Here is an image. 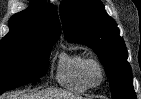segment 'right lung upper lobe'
<instances>
[{
    "label": "right lung upper lobe",
    "mask_w": 141,
    "mask_h": 99,
    "mask_svg": "<svg viewBox=\"0 0 141 99\" xmlns=\"http://www.w3.org/2000/svg\"><path fill=\"white\" fill-rule=\"evenodd\" d=\"M9 20L10 31L3 39L30 40L42 43H55L60 37V24L54 6L38 2Z\"/></svg>",
    "instance_id": "cb5924a9"
}]
</instances>
